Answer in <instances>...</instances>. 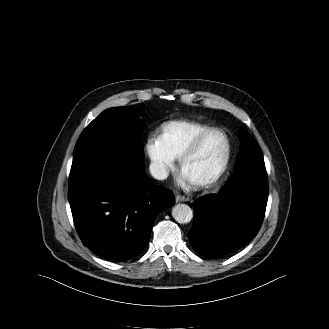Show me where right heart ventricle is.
I'll use <instances>...</instances> for the list:
<instances>
[{
  "label": "right heart ventricle",
  "instance_id": "obj_1",
  "mask_svg": "<svg viewBox=\"0 0 329 329\" xmlns=\"http://www.w3.org/2000/svg\"><path fill=\"white\" fill-rule=\"evenodd\" d=\"M208 129L210 126L199 122L174 120L161 126L158 138L174 158H180L191 142Z\"/></svg>",
  "mask_w": 329,
  "mask_h": 329
}]
</instances>
